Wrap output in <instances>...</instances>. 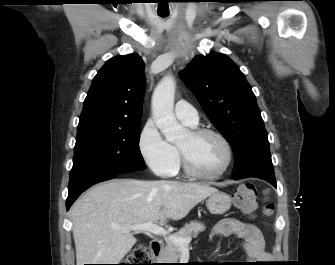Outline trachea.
<instances>
[{
  "instance_id": "3493384b",
  "label": "trachea",
  "mask_w": 335,
  "mask_h": 265,
  "mask_svg": "<svg viewBox=\"0 0 335 265\" xmlns=\"http://www.w3.org/2000/svg\"><path fill=\"white\" fill-rule=\"evenodd\" d=\"M159 16H161V17H166V16H168V15L159 14Z\"/></svg>"
}]
</instances>
